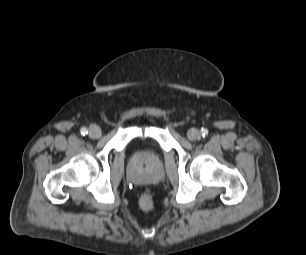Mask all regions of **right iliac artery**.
Wrapping results in <instances>:
<instances>
[{
  "mask_svg": "<svg viewBox=\"0 0 306 255\" xmlns=\"http://www.w3.org/2000/svg\"><path fill=\"white\" fill-rule=\"evenodd\" d=\"M80 132H81L82 135H87L88 134V130L85 127L81 128Z\"/></svg>",
  "mask_w": 306,
  "mask_h": 255,
  "instance_id": "82829eb1",
  "label": "right iliac artery"
}]
</instances>
